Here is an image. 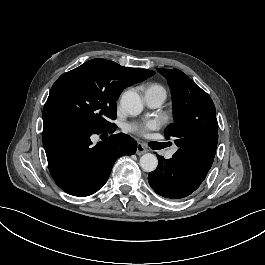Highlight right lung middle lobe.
I'll return each instance as SVG.
<instances>
[{
	"mask_svg": "<svg viewBox=\"0 0 265 265\" xmlns=\"http://www.w3.org/2000/svg\"><path fill=\"white\" fill-rule=\"evenodd\" d=\"M131 84L112 62L93 59L64 73L53 84L43 117L58 116L85 126L95 133L114 131L116 100Z\"/></svg>",
	"mask_w": 265,
	"mask_h": 265,
	"instance_id": "obj_1",
	"label": "right lung middle lobe"
}]
</instances>
